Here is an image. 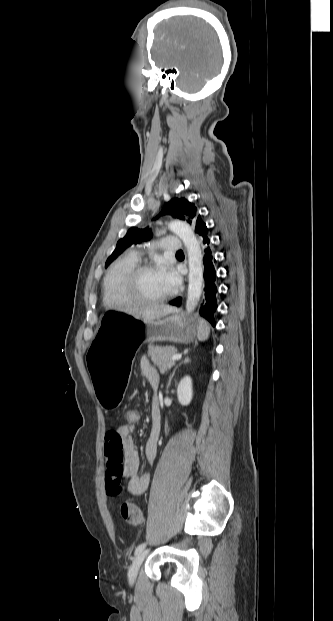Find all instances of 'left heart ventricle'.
Segmentation results:
<instances>
[{"mask_svg": "<svg viewBox=\"0 0 333 621\" xmlns=\"http://www.w3.org/2000/svg\"><path fill=\"white\" fill-rule=\"evenodd\" d=\"M137 293L148 299H157L167 295L170 290L161 276L160 270L142 274L136 284Z\"/></svg>", "mask_w": 333, "mask_h": 621, "instance_id": "b2bd125f", "label": "left heart ventricle"}]
</instances>
